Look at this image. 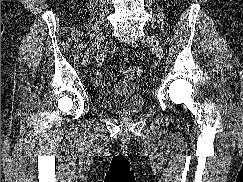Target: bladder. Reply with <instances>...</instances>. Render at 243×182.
Wrapping results in <instances>:
<instances>
[{
    "mask_svg": "<svg viewBox=\"0 0 243 182\" xmlns=\"http://www.w3.org/2000/svg\"><path fill=\"white\" fill-rule=\"evenodd\" d=\"M94 99L99 107L126 116L138 114L145 107L144 98L134 91L122 94L99 90L95 93Z\"/></svg>",
    "mask_w": 243,
    "mask_h": 182,
    "instance_id": "obj_1",
    "label": "bladder"
}]
</instances>
